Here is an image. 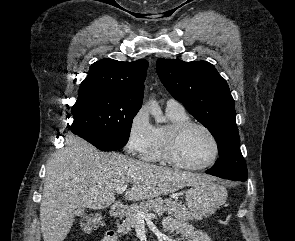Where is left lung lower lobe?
Segmentation results:
<instances>
[{
	"mask_svg": "<svg viewBox=\"0 0 295 241\" xmlns=\"http://www.w3.org/2000/svg\"><path fill=\"white\" fill-rule=\"evenodd\" d=\"M205 173H207V174H211V175H214V176L221 177L219 174L214 173V172H212V171H210V170H206ZM221 178H223V177H221ZM225 179H226V178H225ZM230 180H235V179H230Z\"/></svg>",
	"mask_w": 295,
	"mask_h": 241,
	"instance_id": "left-lung-lower-lobe-1",
	"label": "left lung lower lobe"
}]
</instances>
